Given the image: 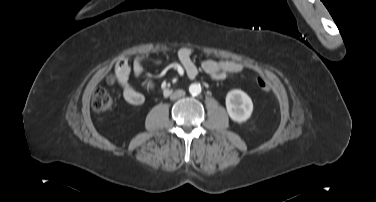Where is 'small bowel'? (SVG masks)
I'll return each mask as SVG.
<instances>
[{
	"label": "small bowel",
	"mask_w": 376,
	"mask_h": 202,
	"mask_svg": "<svg viewBox=\"0 0 376 202\" xmlns=\"http://www.w3.org/2000/svg\"><path fill=\"white\" fill-rule=\"evenodd\" d=\"M177 58L189 78L197 77L199 70L192 58V50L182 47L177 52ZM201 68L212 80L220 81L229 75L238 74L244 67L240 62L233 60L207 59L201 63ZM143 71V57L134 58L131 64L126 60L118 61L114 66V73L121 86L123 99L130 105L138 106L144 102V95L131 82V75L139 77ZM146 87L152 88V83L146 80Z\"/></svg>",
	"instance_id": "small-bowel-1"
}]
</instances>
